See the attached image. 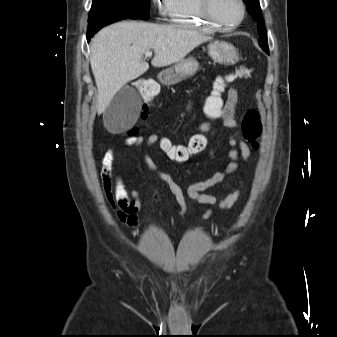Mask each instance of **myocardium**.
<instances>
[{
  "mask_svg": "<svg viewBox=\"0 0 337 337\" xmlns=\"http://www.w3.org/2000/svg\"><path fill=\"white\" fill-rule=\"evenodd\" d=\"M241 8V17L232 24H226L219 21L213 12L214 0H199V7L203 18L217 30H232L239 27L246 17V5L244 0H237Z\"/></svg>",
  "mask_w": 337,
  "mask_h": 337,
  "instance_id": "myocardium-1",
  "label": "myocardium"
}]
</instances>
